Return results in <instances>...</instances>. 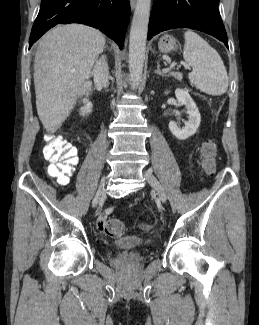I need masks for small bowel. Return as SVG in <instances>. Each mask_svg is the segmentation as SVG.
Returning <instances> with one entry per match:
<instances>
[{
	"instance_id": "1",
	"label": "small bowel",
	"mask_w": 259,
	"mask_h": 325,
	"mask_svg": "<svg viewBox=\"0 0 259 325\" xmlns=\"http://www.w3.org/2000/svg\"><path fill=\"white\" fill-rule=\"evenodd\" d=\"M107 213L102 214L97 219V225L100 230H104L105 223H106Z\"/></svg>"
}]
</instances>
